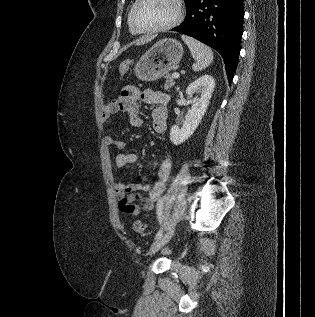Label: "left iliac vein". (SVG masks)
<instances>
[{"mask_svg": "<svg viewBox=\"0 0 315 317\" xmlns=\"http://www.w3.org/2000/svg\"><path fill=\"white\" fill-rule=\"evenodd\" d=\"M174 234V228H170L165 234L160 238L156 239L150 247L149 254L153 255L158 250H160L164 245H166Z\"/></svg>", "mask_w": 315, "mask_h": 317, "instance_id": "obj_1", "label": "left iliac vein"}]
</instances>
